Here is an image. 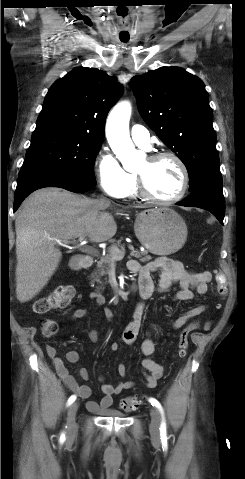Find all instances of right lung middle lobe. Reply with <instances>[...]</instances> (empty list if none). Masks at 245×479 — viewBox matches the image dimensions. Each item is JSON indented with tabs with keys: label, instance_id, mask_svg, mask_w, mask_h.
Returning a JSON list of instances; mask_svg holds the SVG:
<instances>
[{
	"label": "right lung middle lobe",
	"instance_id": "dd1d6c3e",
	"mask_svg": "<svg viewBox=\"0 0 245 479\" xmlns=\"http://www.w3.org/2000/svg\"><path fill=\"white\" fill-rule=\"evenodd\" d=\"M101 140L63 128L35 129L18 179L60 173L95 185L94 163Z\"/></svg>",
	"mask_w": 245,
	"mask_h": 479
}]
</instances>
